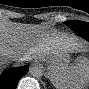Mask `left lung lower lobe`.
Returning a JSON list of instances; mask_svg holds the SVG:
<instances>
[{
  "label": "left lung lower lobe",
  "mask_w": 89,
  "mask_h": 89,
  "mask_svg": "<svg viewBox=\"0 0 89 89\" xmlns=\"http://www.w3.org/2000/svg\"><path fill=\"white\" fill-rule=\"evenodd\" d=\"M78 35L82 36L86 40H89V30L87 29H80L75 31Z\"/></svg>",
  "instance_id": "obj_1"
}]
</instances>
